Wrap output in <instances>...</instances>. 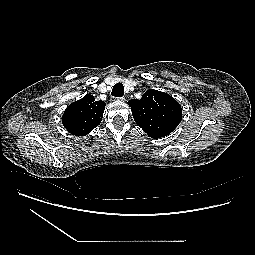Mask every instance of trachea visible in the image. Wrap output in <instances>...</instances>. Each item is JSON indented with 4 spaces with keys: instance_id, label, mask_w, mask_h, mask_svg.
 I'll list each match as a JSON object with an SVG mask.
<instances>
[{
    "instance_id": "3493384b",
    "label": "trachea",
    "mask_w": 255,
    "mask_h": 255,
    "mask_svg": "<svg viewBox=\"0 0 255 255\" xmlns=\"http://www.w3.org/2000/svg\"><path fill=\"white\" fill-rule=\"evenodd\" d=\"M112 96L114 97H122L124 95V86L122 83H117L114 85L112 92Z\"/></svg>"
}]
</instances>
